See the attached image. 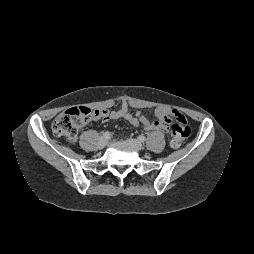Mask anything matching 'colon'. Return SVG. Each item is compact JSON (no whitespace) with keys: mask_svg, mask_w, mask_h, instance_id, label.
Masks as SVG:
<instances>
[{"mask_svg":"<svg viewBox=\"0 0 254 254\" xmlns=\"http://www.w3.org/2000/svg\"><path fill=\"white\" fill-rule=\"evenodd\" d=\"M100 116L99 110H92L87 107H76L68 109L59 114L52 123V131L58 136L68 141L77 138L79 127L90 120ZM171 122V145L179 147L190 134V127L185 117L174 112L170 117Z\"/></svg>","mask_w":254,"mask_h":254,"instance_id":"5ec220e1","label":"colon"}]
</instances>
